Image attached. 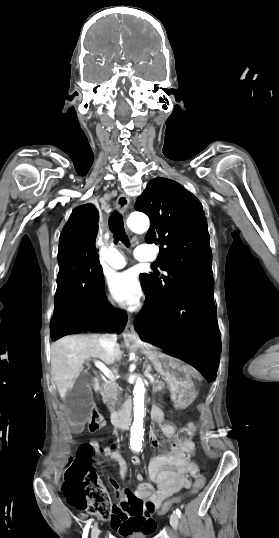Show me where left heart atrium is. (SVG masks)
I'll use <instances>...</instances> for the list:
<instances>
[{
  "mask_svg": "<svg viewBox=\"0 0 279 538\" xmlns=\"http://www.w3.org/2000/svg\"><path fill=\"white\" fill-rule=\"evenodd\" d=\"M108 286L112 295L123 305L134 307L142 295V289L133 270L111 273Z\"/></svg>",
  "mask_w": 279,
  "mask_h": 538,
  "instance_id": "39dd6f15",
  "label": "left heart atrium"
}]
</instances>
